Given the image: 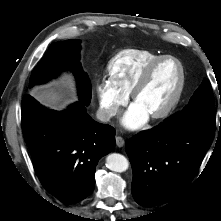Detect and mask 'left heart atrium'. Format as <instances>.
<instances>
[{"label":"left heart atrium","mask_w":221,"mask_h":221,"mask_svg":"<svg viewBox=\"0 0 221 221\" xmlns=\"http://www.w3.org/2000/svg\"><path fill=\"white\" fill-rule=\"evenodd\" d=\"M149 118V114L137 103H133L122 118V123L126 128L137 129L141 127Z\"/></svg>","instance_id":"39dd6f15"}]
</instances>
